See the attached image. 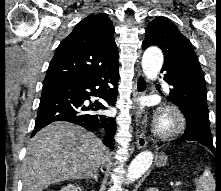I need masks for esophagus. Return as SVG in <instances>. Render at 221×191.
<instances>
[{"mask_svg":"<svg viewBox=\"0 0 221 191\" xmlns=\"http://www.w3.org/2000/svg\"><path fill=\"white\" fill-rule=\"evenodd\" d=\"M147 91V79L145 75L139 71L135 80L134 91H133V99L136 101L138 97L144 95ZM138 116H140L138 114ZM136 147L138 149H142L147 145V139L145 135L137 129L136 132Z\"/></svg>","mask_w":221,"mask_h":191,"instance_id":"1","label":"esophagus"}]
</instances>
